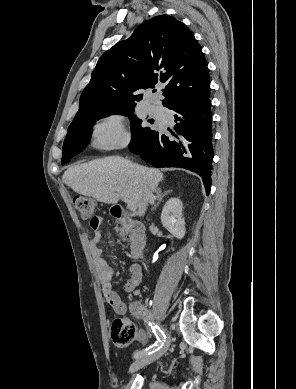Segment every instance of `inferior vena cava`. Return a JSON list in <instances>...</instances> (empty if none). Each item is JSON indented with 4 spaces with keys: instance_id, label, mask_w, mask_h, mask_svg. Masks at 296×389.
Listing matches in <instances>:
<instances>
[{
    "instance_id": "1",
    "label": "inferior vena cava",
    "mask_w": 296,
    "mask_h": 389,
    "mask_svg": "<svg viewBox=\"0 0 296 389\" xmlns=\"http://www.w3.org/2000/svg\"><path fill=\"white\" fill-rule=\"evenodd\" d=\"M144 193L145 194H144V202H143V212L146 211L148 203L151 202V200H152V194L150 193V191L147 188H145Z\"/></svg>"
}]
</instances>
